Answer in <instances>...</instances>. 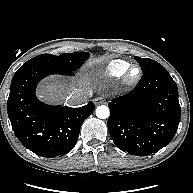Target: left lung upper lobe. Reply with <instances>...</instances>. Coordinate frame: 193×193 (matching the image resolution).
<instances>
[{
	"mask_svg": "<svg viewBox=\"0 0 193 193\" xmlns=\"http://www.w3.org/2000/svg\"><path fill=\"white\" fill-rule=\"evenodd\" d=\"M135 59L139 63V65L141 66V69L143 72H145V71L149 70L150 68L159 64L156 61H154L152 59H148V58H140V57L136 56Z\"/></svg>",
	"mask_w": 193,
	"mask_h": 193,
	"instance_id": "obj_1",
	"label": "left lung upper lobe"
}]
</instances>
